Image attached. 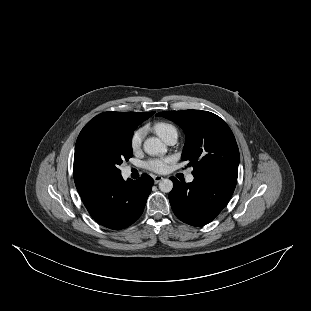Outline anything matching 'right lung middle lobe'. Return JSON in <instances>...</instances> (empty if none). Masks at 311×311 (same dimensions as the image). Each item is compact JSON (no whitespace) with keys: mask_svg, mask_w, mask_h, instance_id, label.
I'll list each match as a JSON object with an SVG mask.
<instances>
[{"mask_svg":"<svg viewBox=\"0 0 311 311\" xmlns=\"http://www.w3.org/2000/svg\"><path fill=\"white\" fill-rule=\"evenodd\" d=\"M134 130L120 123L94 117L77 138L74 175L93 180L121 176L119 165L133 156Z\"/></svg>","mask_w":311,"mask_h":311,"instance_id":"obj_1","label":"right lung middle lobe"}]
</instances>
